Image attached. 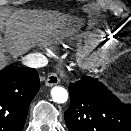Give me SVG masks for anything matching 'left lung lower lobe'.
I'll use <instances>...</instances> for the list:
<instances>
[{
    "mask_svg": "<svg viewBox=\"0 0 131 131\" xmlns=\"http://www.w3.org/2000/svg\"><path fill=\"white\" fill-rule=\"evenodd\" d=\"M69 94L64 114L69 131H131V104L121 102L97 78L70 83Z\"/></svg>",
    "mask_w": 131,
    "mask_h": 131,
    "instance_id": "0a47b994",
    "label": "left lung lower lobe"
}]
</instances>
